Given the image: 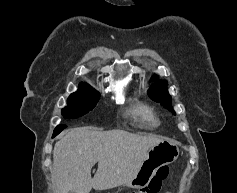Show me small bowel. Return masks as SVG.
Wrapping results in <instances>:
<instances>
[{
    "mask_svg": "<svg viewBox=\"0 0 237 193\" xmlns=\"http://www.w3.org/2000/svg\"><path fill=\"white\" fill-rule=\"evenodd\" d=\"M165 193H173L172 191H166Z\"/></svg>",
    "mask_w": 237,
    "mask_h": 193,
    "instance_id": "1",
    "label": "small bowel"
}]
</instances>
